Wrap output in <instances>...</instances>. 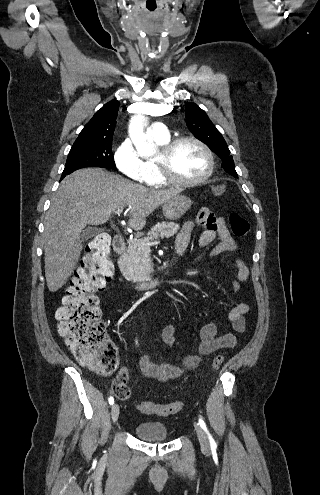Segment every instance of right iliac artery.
<instances>
[{
    "label": "right iliac artery",
    "instance_id": "82829eb1",
    "mask_svg": "<svg viewBox=\"0 0 320 495\" xmlns=\"http://www.w3.org/2000/svg\"><path fill=\"white\" fill-rule=\"evenodd\" d=\"M114 403V398L113 397H110L109 398V404L112 405Z\"/></svg>",
    "mask_w": 320,
    "mask_h": 495
}]
</instances>
